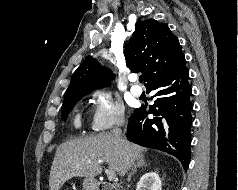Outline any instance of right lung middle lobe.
<instances>
[{"instance_id": "right-lung-middle-lobe-1", "label": "right lung middle lobe", "mask_w": 238, "mask_h": 190, "mask_svg": "<svg viewBox=\"0 0 238 190\" xmlns=\"http://www.w3.org/2000/svg\"><path fill=\"white\" fill-rule=\"evenodd\" d=\"M84 95H86V94H76V95L65 97L63 105H62V109H61L62 110L61 117H62L63 121H65L67 119V115L73 108L74 104L77 101H79L82 98V96H84Z\"/></svg>"}]
</instances>
